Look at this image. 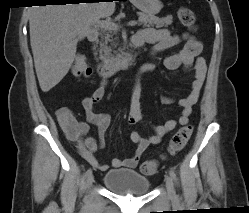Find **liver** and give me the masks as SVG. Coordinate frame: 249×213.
Returning a JSON list of instances; mask_svg holds the SVG:
<instances>
[{
    "mask_svg": "<svg viewBox=\"0 0 249 213\" xmlns=\"http://www.w3.org/2000/svg\"><path fill=\"white\" fill-rule=\"evenodd\" d=\"M114 11V2L33 6L29 10L30 44L43 92L66 76L78 41L88 35L97 21Z\"/></svg>",
    "mask_w": 249,
    "mask_h": 213,
    "instance_id": "1",
    "label": "liver"
}]
</instances>
